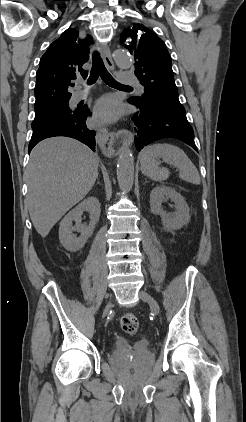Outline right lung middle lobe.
I'll return each mask as SVG.
<instances>
[{"label":"right lung middle lobe","instance_id":"obj_1","mask_svg":"<svg viewBox=\"0 0 246 422\" xmlns=\"http://www.w3.org/2000/svg\"><path fill=\"white\" fill-rule=\"evenodd\" d=\"M68 102L69 101L67 100L40 109H35V118L32 122V127L50 120L70 118L75 115L77 110H71Z\"/></svg>","mask_w":246,"mask_h":422}]
</instances>
